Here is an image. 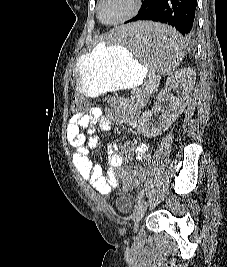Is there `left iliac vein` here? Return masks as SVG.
Wrapping results in <instances>:
<instances>
[{
    "instance_id": "1",
    "label": "left iliac vein",
    "mask_w": 227,
    "mask_h": 267,
    "mask_svg": "<svg viewBox=\"0 0 227 267\" xmlns=\"http://www.w3.org/2000/svg\"><path fill=\"white\" fill-rule=\"evenodd\" d=\"M148 206H149V202L146 199L142 200V202L137 206V208L134 212V216H133V220H134L133 229L135 232L137 231V229L139 227V222L142 219V217L144 216Z\"/></svg>"
}]
</instances>
